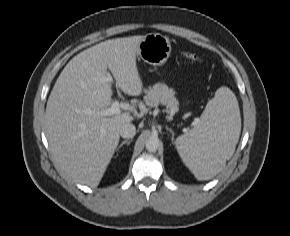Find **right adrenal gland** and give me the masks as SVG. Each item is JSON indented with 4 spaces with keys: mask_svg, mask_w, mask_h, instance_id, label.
Instances as JSON below:
<instances>
[{
    "mask_svg": "<svg viewBox=\"0 0 290 236\" xmlns=\"http://www.w3.org/2000/svg\"><path fill=\"white\" fill-rule=\"evenodd\" d=\"M132 141H133L132 139H131V140H128V139H127V140L122 141V142L120 143V145L118 146L117 151H119V149H120L124 144L129 145Z\"/></svg>",
    "mask_w": 290,
    "mask_h": 236,
    "instance_id": "1",
    "label": "right adrenal gland"
}]
</instances>
